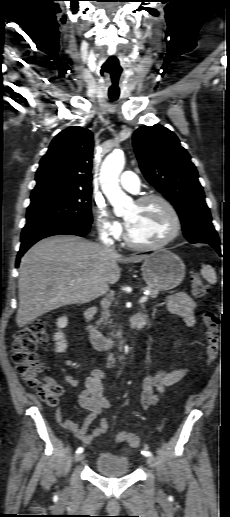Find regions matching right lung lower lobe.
<instances>
[{"mask_svg": "<svg viewBox=\"0 0 230 517\" xmlns=\"http://www.w3.org/2000/svg\"><path fill=\"white\" fill-rule=\"evenodd\" d=\"M90 227L91 224H83L60 219H48L26 223L21 234V247L17 255L16 267H18L20 258L23 254L37 241L45 237L63 234L84 237Z\"/></svg>", "mask_w": 230, "mask_h": 517, "instance_id": "obj_1", "label": "right lung lower lobe"}]
</instances>
